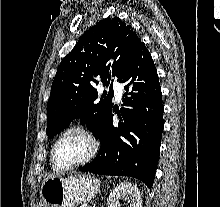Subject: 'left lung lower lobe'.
<instances>
[{
  "mask_svg": "<svg viewBox=\"0 0 220 207\" xmlns=\"http://www.w3.org/2000/svg\"><path fill=\"white\" fill-rule=\"evenodd\" d=\"M125 84L121 121L113 126L112 107L95 137L101 147L84 172L131 176L151 189L163 132L162 93L157 70L145 44L136 48L119 77Z\"/></svg>",
  "mask_w": 220,
  "mask_h": 207,
  "instance_id": "0a47b994",
  "label": "left lung lower lobe"
}]
</instances>
